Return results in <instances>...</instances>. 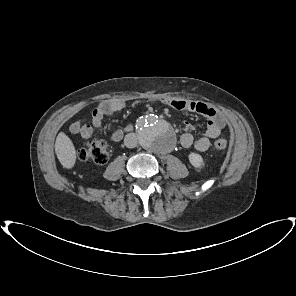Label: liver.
<instances>
[{
  "instance_id": "6515ba94",
  "label": "liver",
  "mask_w": 296,
  "mask_h": 296,
  "mask_svg": "<svg viewBox=\"0 0 296 296\" xmlns=\"http://www.w3.org/2000/svg\"><path fill=\"white\" fill-rule=\"evenodd\" d=\"M55 152L64 168L71 169L76 162V150L71 139L60 132L55 142Z\"/></svg>"
}]
</instances>
